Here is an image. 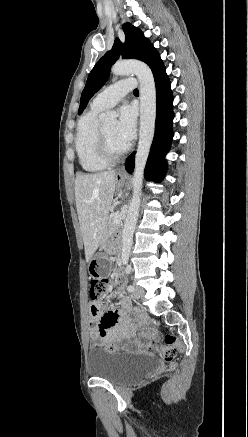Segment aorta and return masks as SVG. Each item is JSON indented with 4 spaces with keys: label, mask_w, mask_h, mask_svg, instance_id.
<instances>
[{
    "label": "aorta",
    "mask_w": 248,
    "mask_h": 437,
    "mask_svg": "<svg viewBox=\"0 0 248 437\" xmlns=\"http://www.w3.org/2000/svg\"><path fill=\"white\" fill-rule=\"evenodd\" d=\"M111 72L116 76L135 74L140 84V128L132 178L133 196L128 207L122 231V259L128 260L131 253L133 234L139 216L144 169L155 132L156 89L151 69L141 61H119L112 67ZM116 117L117 115L113 112L101 114V119L105 122L114 121Z\"/></svg>",
    "instance_id": "1"
}]
</instances>
